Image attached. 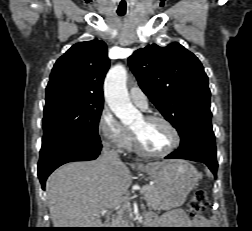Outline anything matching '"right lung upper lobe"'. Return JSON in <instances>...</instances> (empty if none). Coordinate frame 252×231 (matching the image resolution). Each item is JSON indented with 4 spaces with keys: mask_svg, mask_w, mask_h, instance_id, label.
Listing matches in <instances>:
<instances>
[{
    "mask_svg": "<svg viewBox=\"0 0 252 231\" xmlns=\"http://www.w3.org/2000/svg\"><path fill=\"white\" fill-rule=\"evenodd\" d=\"M108 68L107 47L103 41L77 43L56 61L46 99L63 95L103 103L102 86Z\"/></svg>",
    "mask_w": 252,
    "mask_h": 231,
    "instance_id": "right-lung-upper-lobe-1",
    "label": "right lung upper lobe"
}]
</instances>
